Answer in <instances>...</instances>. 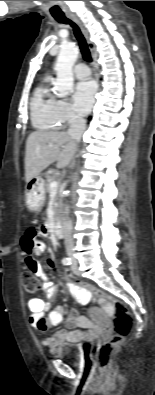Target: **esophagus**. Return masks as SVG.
Returning a JSON list of instances; mask_svg holds the SVG:
<instances>
[{"mask_svg":"<svg viewBox=\"0 0 155 395\" xmlns=\"http://www.w3.org/2000/svg\"><path fill=\"white\" fill-rule=\"evenodd\" d=\"M66 15L69 19H71L73 22H75L78 25V27L80 28L81 32L83 33V35L85 36V38L88 42L89 48L91 49L92 45H91L90 41L88 40V33H87L86 29L84 28V25L82 24V22L79 20V18L76 15H74L72 13H67Z\"/></svg>","mask_w":155,"mask_h":395,"instance_id":"obj_1","label":"esophagus"}]
</instances>
